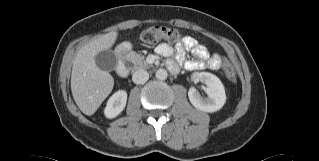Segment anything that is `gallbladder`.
<instances>
[{"mask_svg":"<svg viewBox=\"0 0 319 161\" xmlns=\"http://www.w3.org/2000/svg\"><path fill=\"white\" fill-rule=\"evenodd\" d=\"M94 58L97 67L103 71H112L117 66V56L110 49L99 52Z\"/></svg>","mask_w":319,"mask_h":161,"instance_id":"1","label":"gallbladder"}]
</instances>
